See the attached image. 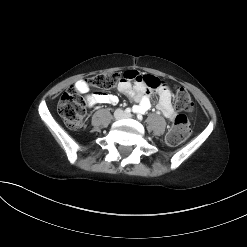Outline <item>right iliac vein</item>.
Instances as JSON below:
<instances>
[{
    "label": "right iliac vein",
    "mask_w": 247,
    "mask_h": 247,
    "mask_svg": "<svg viewBox=\"0 0 247 247\" xmlns=\"http://www.w3.org/2000/svg\"><path fill=\"white\" fill-rule=\"evenodd\" d=\"M122 116H123V112L121 110L116 111L115 114H114V117L117 120L122 118Z\"/></svg>",
    "instance_id": "obj_1"
}]
</instances>
